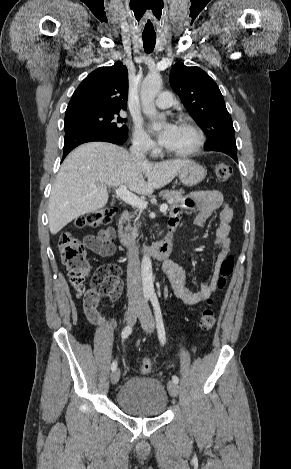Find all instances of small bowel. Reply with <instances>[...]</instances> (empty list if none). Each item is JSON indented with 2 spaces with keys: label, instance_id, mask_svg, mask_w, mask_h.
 <instances>
[{
  "label": "small bowel",
  "instance_id": "1",
  "mask_svg": "<svg viewBox=\"0 0 291 469\" xmlns=\"http://www.w3.org/2000/svg\"><path fill=\"white\" fill-rule=\"evenodd\" d=\"M183 210L195 212L194 224L197 226H203L208 218L216 211H218L219 218L215 244L220 248V252L215 262L212 277L208 283H203L198 290L192 291L187 288L185 271L177 262L169 260L163 265V271L171 283L175 297L184 304L195 305L206 300L215 292L221 263L231 253V240L229 235L233 210L228 203L225 202L223 195L219 191H197L185 198L181 207L172 210L169 221L170 227L176 228L178 226ZM112 238L113 231L107 229L95 236L88 237L86 241L92 251L102 256H109L112 254L110 251ZM120 292L121 289L118 293L111 295V298L113 300L117 299Z\"/></svg>",
  "mask_w": 291,
  "mask_h": 469
}]
</instances>
